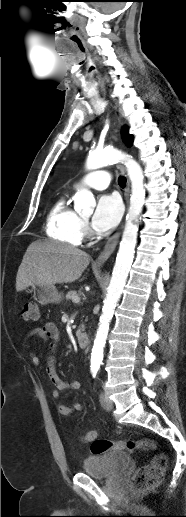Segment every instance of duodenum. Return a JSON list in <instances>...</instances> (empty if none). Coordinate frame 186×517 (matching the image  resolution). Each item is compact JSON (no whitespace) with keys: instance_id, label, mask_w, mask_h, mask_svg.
<instances>
[{"instance_id":"410a0bca","label":"duodenum","mask_w":186,"mask_h":517,"mask_svg":"<svg viewBox=\"0 0 186 517\" xmlns=\"http://www.w3.org/2000/svg\"><path fill=\"white\" fill-rule=\"evenodd\" d=\"M77 344L80 348H86L89 344V337L83 331H77L76 333Z\"/></svg>"}]
</instances>
